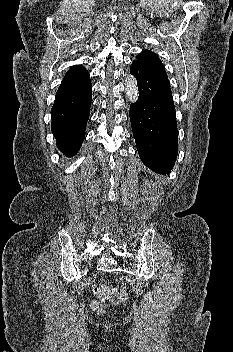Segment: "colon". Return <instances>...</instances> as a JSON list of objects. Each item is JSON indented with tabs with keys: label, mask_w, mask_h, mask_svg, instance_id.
Segmentation results:
<instances>
[{
	"label": "colon",
	"mask_w": 233,
	"mask_h": 352,
	"mask_svg": "<svg viewBox=\"0 0 233 352\" xmlns=\"http://www.w3.org/2000/svg\"><path fill=\"white\" fill-rule=\"evenodd\" d=\"M92 292L98 298L92 303L93 309L97 311L103 310L108 304L122 303L128 296L126 288L118 285L96 284L92 286Z\"/></svg>",
	"instance_id": "obj_1"
}]
</instances>
